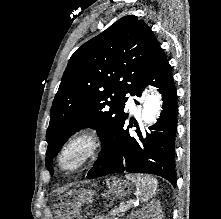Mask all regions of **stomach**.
Masks as SVG:
<instances>
[{"instance_id":"1","label":"stomach","mask_w":221,"mask_h":219,"mask_svg":"<svg viewBox=\"0 0 221 219\" xmlns=\"http://www.w3.org/2000/svg\"><path fill=\"white\" fill-rule=\"evenodd\" d=\"M96 183H113L108 186H100V191L105 194H94V199H121L122 195H126V190H122L124 183L120 182V178H96ZM60 195H64V199H82V195H93V190H60Z\"/></svg>"}]
</instances>
